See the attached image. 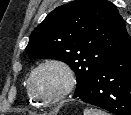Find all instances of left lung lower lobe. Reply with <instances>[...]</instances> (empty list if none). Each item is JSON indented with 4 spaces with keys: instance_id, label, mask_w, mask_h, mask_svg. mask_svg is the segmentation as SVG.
I'll list each match as a JSON object with an SVG mask.
<instances>
[{
    "instance_id": "obj_1",
    "label": "left lung lower lobe",
    "mask_w": 131,
    "mask_h": 115,
    "mask_svg": "<svg viewBox=\"0 0 131 115\" xmlns=\"http://www.w3.org/2000/svg\"><path fill=\"white\" fill-rule=\"evenodd\" d=\"M76 97L115 115H131V39Z\"/></svg>"
}]
</instances>
